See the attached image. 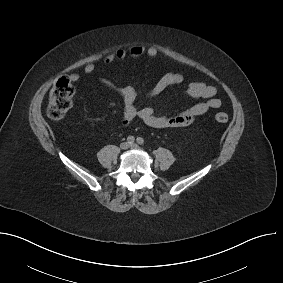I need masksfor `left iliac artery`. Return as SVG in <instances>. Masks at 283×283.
I'll return each mask as SVG.
<instances>
[{
	"label": "left iliac artery",
	"mask_w": 283,
	"mask_h": 283,
	"mask_svg": "<svg viewBox=\"0 0 283 283\" xmlns=\"http://www.w3.org/2000/svg\"><path fill=\"white\" fill-rule=\"evenodd\" d=\"M137 143L140 144V145H143L144 144V139L142 137H138L136 139Z\"/></svg>",
	"instance_id": "44dca946"
}]
</instances>
